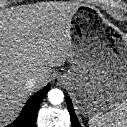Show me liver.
<instances>
[{"mask_svg": "<svg viewBox=\"0 0 127 127\" xmlns=\"http://www.w3.org/2000/svg\"><path fill=\"white\" fill-rule=\"evenodd\" d=\"M80 5H22L0 13V125L11 120L23 103L44 86L51 67L71 56L72 16ZM38 76L32 88L27 80Z\"/></svg>", "mask_w": 127, "mask_h": 127, "instance_id": "1", "label": "liver"}]
</instances>
